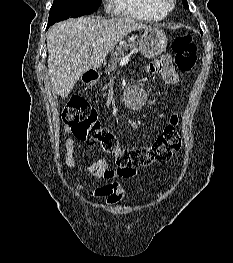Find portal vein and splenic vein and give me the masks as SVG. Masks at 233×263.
Returning <instances> with one entry per match:
<instances>
[{"label": "portal vein and splenic vein", "mask_w": 233, "mask_h": 263, "mask_svg": "<svg viewBox=\"0 0 233 263\" xmlns=\"http://www.w3.org/2000/svg\"><path fill=\"white\" fill-rule=\"evenodd\" d=\"M95 45H96L95 43L92 44V46H95ZM134 52H138V50L134 48V49L132 50V53H134Z\"/></svg>", "instance_id": "1"}]
</instances>
